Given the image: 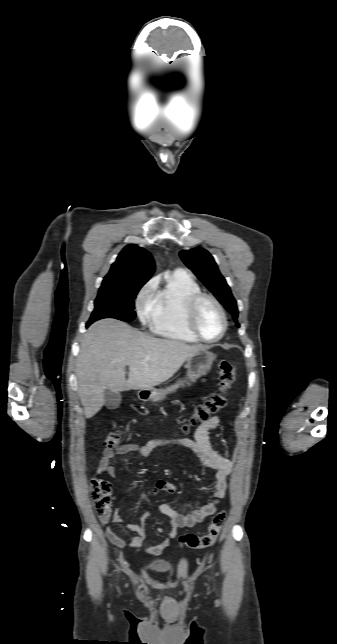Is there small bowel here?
I'll return each instance as SVG.
<instances>
[{
  "label": "small bowel",
  "instance_id": "1",
  "mask_svg": "<svg viewBox=\"0 0 337 644\" xmlns=\"http://www.w3.org/2000/svg\"><path fill=\"white\" fill-rule=\"evenodd\" d=\"M218 425V417L212 416L196 429L194 440L181 439L173 443L175 445L190 449L205 468L215 473L216 482L214 491L209 500L199 505L190 513H184L180 510H177L167 503L161 504L158 507L157 511L167 517L169 533L160 543L146 549V553L148 555L155 556L164 552L169 547L171 540L175 538L178 529L191 528L201 523L208 516L215 513L218 505L226 497L229 486V477L233 469V463L231 460L222 457L211 445L209 434ZM165 444H167V442L152 440L142 445L125 443L120 445L115 450L105 449L100 459L99 473L102 474L107 472L110 475H115L116 468L113 460L116 456L136 452L139 457L144 458L149 456L155 448ZM176 491V484L168 480L157 481L156 485L153 488L154 493L166 492L173 494ZM152 514L153 511L144 510L141 514L139 524L128 523L125 525L126 528L133 533L130 538V546L132 548H139L142 545L143 541L147 538L144 522ZM113 522L123 523L120 508H117L115 510ZM105 536L112 544L118 547H123L126 544L125 539L110 528H107L105 530Z\"/></svg>",
  "mask_w": 337,
  "mask_h": 644
}]
</instances>
